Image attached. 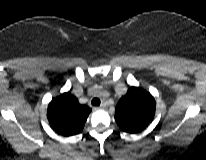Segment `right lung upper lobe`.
Masks as SVG:
<instances>
[{
    "label": "right lung upper lobe",
    "mask_w": 206,
    "mask_h": 160,
    "mask_svg": "<svg viewBox=\"0 0 206 160\" xmlns=\"http://www.w3.org/2000/svg\"><path fill=\"white\" fill-rule=\"evenodd\" d=\"M91 109L81 105L70 92L63 93L48 105L47 119L51 128L58 134L69 137L80 133Z\"/></svg>",
    "instance_id": "cb5924a9"
}]
</instances>
